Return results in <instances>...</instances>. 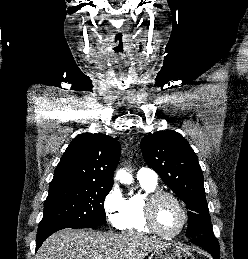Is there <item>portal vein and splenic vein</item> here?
<instances>
[{"label":"portal vein and splenic vein","mask_w":248,"mask_h":259,"mask_svg":"<svg viewBox=\"0 0 248 259\" xmlns=\"http://www.w3.org/2000/svg\"><path fill=\"white\" fill-rule=\"evenodd\" d=\"M96 259H101L100 257H97Z\"/></svg>","instance_id":"portal-vein-and-splenic-vein-1"}]
</instances>
